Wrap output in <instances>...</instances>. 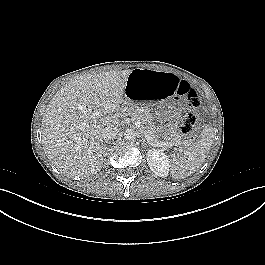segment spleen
Returning <instances> with one entry per match:
<instances>
[{
  "instance_id": "obj_1",
  "label": "spleen",
  "mask_w": 265,
  "mask_h": 265,
  "mask_svg": "<svg viewBox=\"0 0 265 265\" xmlns=\"http://www.w3.org/2000/svg\"><path fill=\"white\" fill-rule=\"evenodd\" d=\"M213 132L211 129H204L200 138L193 143L189 151L183 156L172 155L170 169L175 179L185 178L194 173L202 166L212 145Z\"/></svg>"
}]
</instances>
